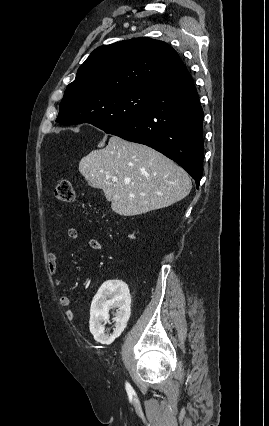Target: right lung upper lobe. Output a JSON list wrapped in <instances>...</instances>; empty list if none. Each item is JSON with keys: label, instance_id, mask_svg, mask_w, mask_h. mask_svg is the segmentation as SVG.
Returning a JSON list of instances; mask_svg holds the SVG:
<instances>
[{"label": "right lung upper lobe", "instance_id": "1", "mask_svg": "<svg viewBox=\"0 0 269 426\" xmlns=\"http://www.w3.org/2000/svg\"><path fill=\"white\" fill-rule=\"evenodd\" d=\"M187 75L179 55L168 44L148 37L134 38L95 49L64 96L91 98L126 90L155 92Z\"/></svg>", "mask_w": 269, "mask_h": 426}]
</instances>
